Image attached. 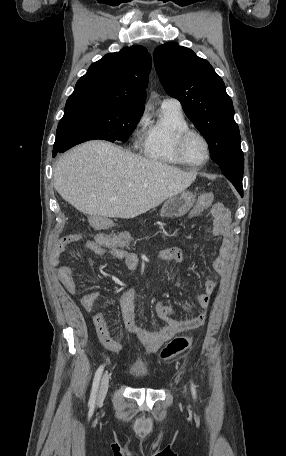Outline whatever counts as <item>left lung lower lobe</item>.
<instances>
[{"instance_id": "0a47b994", "label": "left lung lower lobe", "mask_w": 286, "mask_h": 456, "mask_svg": "<svg viewBox=\"0 0 286 456\" xmlns=\"http://www.w3.org/2000/svg\"><path fill=\"white\" fill-rule=\"evenodd\" d=\"M224 175L230 182H232L240 195L243 196L242 175L234 173H224Z\"/></svg>"}]
</instances>
